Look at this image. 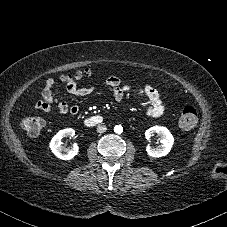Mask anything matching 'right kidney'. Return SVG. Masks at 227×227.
I'll return each instance as SVG.
<instances>
[{
	"label": "right kidney",
	"mask_w": 227,
	"mask_h": 227,
	"mask_svg": "<svg viewBox=\"0 0 227 227\" xmlns=\"http://www.w3.org/2000/svg\"><path fill=\"white\" fill-rule=\"evenodd\" d=\"M75 135V131L72 128H67L60 130L51 140L50 149L53 154L62 159V160H70L74 158L78 152L79 148L77 144H74L71 148H66L62 146V139L65 137L72 138Z\"/></svg>",
	"instance_id": "ca27d5eb"
}]
</instances>
